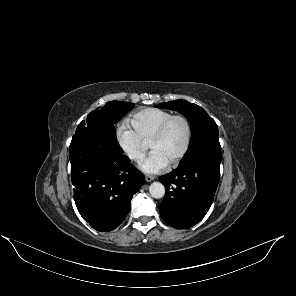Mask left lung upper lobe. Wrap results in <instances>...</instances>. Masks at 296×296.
Masks as SVG:
<instances>
[{
	"instance_id": "obj_1",
	"label": "left lung upper lobe",
	"mask_w": 296,
	"mask_h": 296,
	"mask_svg": "<svg viewBox=\"0 0 296 296\" xmlns=\"http://www.w3.org/2000/svg\"><path fill=\"white\" fill-rule=\"evenodd\" d=\"M157 107L176 110L191 123L192 137L181 164L205 153L221 151L217 124L203 108L185 100L161 103Z\"/></svg>"
}]
</instances>
